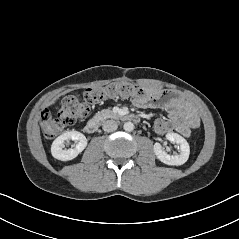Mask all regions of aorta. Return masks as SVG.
I'll list each match as a JSON object with an SVG mask.
<instances>
[{
	"instance_id": "762f6f07",
	"label": "aorta",
	"mask_w": 239,
	"mask_h": 239,
	"mask_svg": "<svg viewBox=\"0 0 239 239\" xmlns=\"http://www.w3.org/2000/svg\"><path fill=\"white\" fill-rule=\"evenodd\" d=\"M123 128L125 131L131 132L134 130V124L132 122H126L124 123Z\"/></svg>"
}]
</instances>
